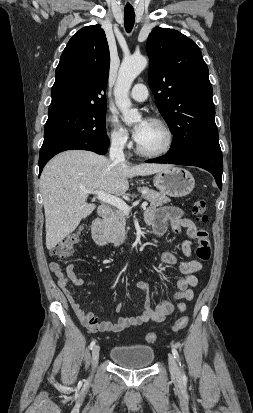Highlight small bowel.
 I'll list each match as a JSON object with an SVG mask.
<instances>
[{
	"label": "small bowel",
	"instance_id": "small-bowel-1",
	"mask_svg": "<svg viewBox=\"0 0 253 413\" xmlns=\"http://www.w3.org/2000/svg\"><path fill=\"white\" fill-rule=\"evenodd\" d=\"M146 223L151 226L157 236H162L170 226L174 234H179L182 229H186L187 240L181 243V252L184 256L190 257L192 253V239L195 238L196 225L192 220L184 215V212L173 206L162 208L151 207L145 215ZM161 260L168 265L176 264L177 258L170 252H165ZM50 270L55 276L59 287L70 303L76 316L83 326L90 332H121L130 327H139L147 323H159L174 311L184 312L186 304L183 300L190 301L194 298L193 288L198 284L195 273L198 272L202 265L196 260H186L179 265L181 277L176 281V292L162 301L155 308L150 306L148 299L149 280H141L136 283V287L141 291L144 298V311L137 317H121L116 322L100 321L94 312H85L80 303L74 297L72 291L68 288L69 283L75 286H81L84 281L75 273V266L69 263L64 273L58 262H51ZM121 305L117 306V310Z\"/></svg>",
	"mask_w": 253,
	"mask_h": 413
}]
</instances>
